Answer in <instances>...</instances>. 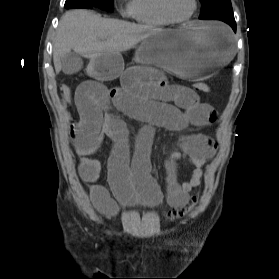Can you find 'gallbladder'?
Instances as JSON below:
<instances>
[{"mask_svg": "<svg viewBox=\"0 0 279 279\" xmlns=\"http://www.w3.org/2000/svg\"><path fill=\"white\" fill-rule=\"evenodd\" d=\"M62 71L66 75L79 72L83 67V60L76 52H69L61 59Z\"/></svg>", "mask_w": 279, "mask_h": 279, "instance_id": "bac80fb5", "label": "gallbladder"}]
</instances>
